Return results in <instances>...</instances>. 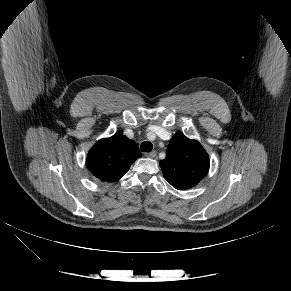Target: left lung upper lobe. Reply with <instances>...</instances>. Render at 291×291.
Instances as JSON below:
<instances>
[{
	"label": "left lung upper lobe",
	"mask_w": 291,
	"mask_h": 291,
	"mask_svg": "<svg viewBox=\"0 0 291 291\" xmlns=\"http://www.w3.org/2000/svg\"><path fill=\"white\" fill-rule=\"evenodd\" d=\"M160 166L164 178L173 187L186 190L194 187L207 174L209 157L199 142L176 133Z\"/></svg>",
	"instance_id": "1"
}]
</instances>
